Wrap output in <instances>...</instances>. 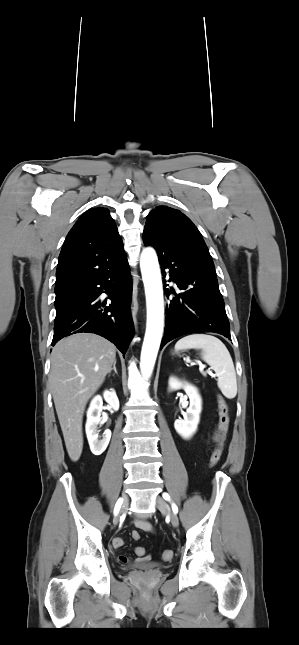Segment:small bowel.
Listing matches in <instances>:
<instances>
[{"label":"small bowel","instance_id":"small-bowel-1","mask_svg":"<svg viewBox=\"0 0 299 645\" xmlns=\"http://www.w3.org/2000/svg\"><path fill=\"white\" fill-rule=\"evenodd\" d=\"M216 437H217V434L215 433V434H214V436H213V440H215V439H216ZM136 526H137L139 529L144 530V531H151V530H152L151 525H150L148 522H146V521L138 520V521L136 522ZM123 544H124V541H123V539H122L121 537H116V538L113 540V546H114L115 548H117V549H118V548H121V547L123 546ZM148 559H149V557H148V556H144V557H139V558L137 559V561H139V562H143V561H147ZM119 560H120L121 562H127V561H128V558H127V557H125V556H123V555H120V556H119Z\"/></svg>","mask_w":299,"mask_h":645}]
</instances>
